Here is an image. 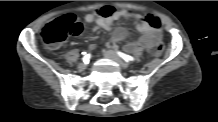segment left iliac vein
<instances>
[{"label":"left iliac vein","instance_id":"left-iliac-vein-1","mask_svg":"<svg viewBox=\"0 0 218 122\" xmlns=\"http://www.w3.org/2000/svg\"><path fill=\"white\" fill-rule=\"evenodd\" d=\"M103 55L106 58L115 61L121 68H123V69L128 68V64L126 62H124L120 57H118L113 51L104 50Z\"/></svg>","mask_w":218,"mask_h":122}]
</instances>
